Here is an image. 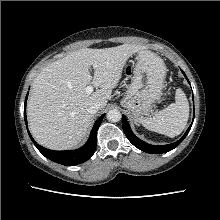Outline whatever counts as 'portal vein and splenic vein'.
I'll list each match as a JSON object with an SVG mask.
<instances>
[{"label": "portal vein and splenic vein", "instance_id": "portal-vein-and-splenic-vein-1", "mask_svg": "<svg viewBox=\"0 0 220 220\" xmlns=\"http://www.w3.org/2000/svg\"><path fill=\"white\" fill-rule=\"evenodd\" d=\"M92 92H93V86H91V85L87 86L86 93L91 94Z\"/></svg>", "mask_w": 220, "mask_h": 220}]
</instances>
